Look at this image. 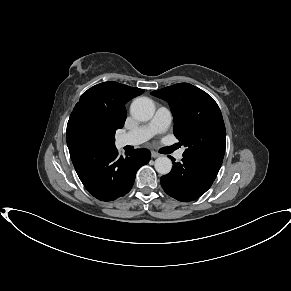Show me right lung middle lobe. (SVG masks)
<instances>
[{
    "instance_id": "1",
    "label": "right lung middle lobe",
    "mask_w": 291,
    "mask_h": 291,
    "mask_svg": "<svg viewBox=\"0 0 291 291\" xmlns=\"http://www.w3.org/2000/svg\"><path fill=\"white\" fill-rule=\"evenodd\" d=\"M66 134L67 139H82L101 146H115V130L90 116L69 118Z\"/></svg>"
}]
</instances>
